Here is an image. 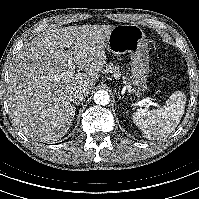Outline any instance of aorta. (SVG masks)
Segmentation results:
<instances>
[{
  "label": "aorta",
  "mask_w": 199,
  "mask_h": 199,
  "mask_svg": "<svg viewBox=\"0 0 199 199\" xmlns=\"http://www.w3.org/2000/svg\"><path fill=\"white\" fill-rule=\"evenodd\" d=\"M94 102L98 105H107L110 102V95L104 90H98L94 94Z\"/></svg>",
  "instance_id": "762f6f07"
}]
</instances>
